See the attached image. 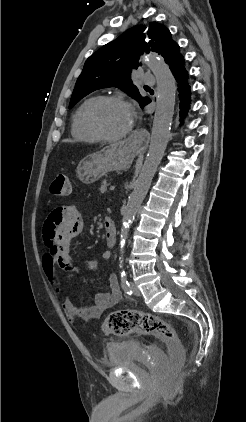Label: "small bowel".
Listing matches in <instances>:
<instances>
[{
	"label": "small bowel",
	"mask_w": 246,
	"mask_h": 422,
	"mask_svg": "<svg viewBox=\"0 0 246 422\" xmlns=\"http://www.w3.org/2000/svg\"><path fill=\"white\" fill-rule=\"evenodd\" d=\"M84 220L80 209L73 204L57 207L50 212L43 225V239L46 252L43 257V269L53 286L59 282V269L71 271L74 268L73 258L70 254L71 240L83 231ZM104 260H109L111 255L104 252ZM98 261L90 260L86 270L96 269ZM109 291H101L95 295L91 304L78 307L69 298H64L62 306L71 320L80 319L88 321L99 319L105 311L117 305L122 299L118 278L109 276Z\"/></svg>",
	"instance_id": "c3829d8e"
}]
</instances>
